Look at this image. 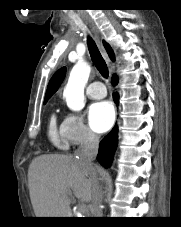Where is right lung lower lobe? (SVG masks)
<instances>
[{"instance_id":"98d812e1","label":"right lung lower lobe","mask_w":181,"mask_h":227,"mask_svg":"<svg viewBox=\"0 0 181 227\" xmlns=\"http://www.w3.org/2000/svg\"><path fill=\"white\" fill-rule=\"evenodd\" d=\"M113 85H116L118 82V79L116 76H113L112 78ZM113 98L115 99V102L118 104V94H113ZM117 133H118V127L115 126L111 130V132L102 139V141L99 144V152L97 159L104 167H109L111 165V161L113 159V155L115 152V149L117 147Z\"/></svg>"}]
</instances>
